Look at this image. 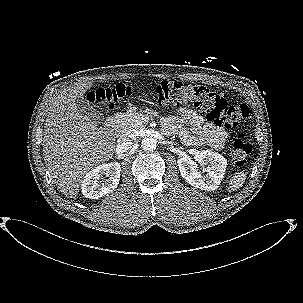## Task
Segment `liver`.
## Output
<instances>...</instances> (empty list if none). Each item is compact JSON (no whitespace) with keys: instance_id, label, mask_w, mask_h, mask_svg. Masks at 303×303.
Instances as JSON below:
<instances>
[{"instance_id":"obj_1","label":"liver","mask_w":303,"mask_h":303,"mask_svg":"<svg viewBox=\"0 0 303 303\" xmlns=\"http://www.w3.org/2000/svg\"><path fill=\"white\" fill-rule=\"evenodd\" d=\"M92 81L61 92L45 120L43 156L57 188L70 198L79 193L85 175L111 158L115 138L111 129L82 115L75 101L92 87Z\"/></svg>"}]
</instances>
